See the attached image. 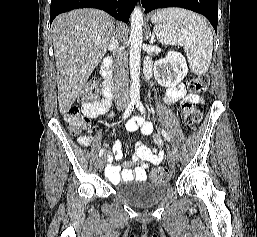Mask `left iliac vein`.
I'll use <instances>...</instances> for the list:
<instances>
[{
	"mask_svg": "<svg viewBox=\"0 0 257 237\" xmlns=\"http://www.w3.org/2000/svg\"><path fill=\"white\" fill-rule=\"evenodd\" d=\"M169 159L173 162H177L179 160L178 151L175 148H171L168 152Z\"/></svg>",
	"mask_w": 257,
	"mask_h": 237,
	"instance_id": "left-iliac-vein-1",
	"label": "left iliac vein"
}]
</instances>
